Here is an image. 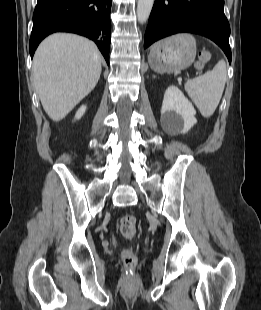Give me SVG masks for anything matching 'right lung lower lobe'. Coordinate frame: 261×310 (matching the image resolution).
<instances>
[{"label": "right lung lower lobe", "mask_w": 261, "mask_h": 310, "mask_svg": "<svg viewBox=\"0 0 261 310\" xmlns=\"http://www.w3.org/2000/svg\"><path fill=\"white\" fill-rule=\"evenodd\" d=\"M112 0H38L29 50L33 57L47 35L62 31L93 40L109 64Z\"/></svg>", "instance_id": "1"}]
</instances>
